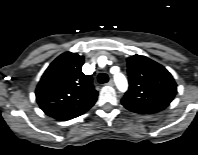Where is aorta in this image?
Masks as SVG:
<instances>
[{"mask_svg": "<svg viewBox=\"0 0 198 155\" xmlns=\"http://www.w3.org/2000/svg\"><path fill=\"white\" fill-rule=\"evenodd\" d=\"M114 81L120 91H125L127 89V80L122 73L115 74Z\"/></svg>", "mask_w": 198, "mask_h": 155, "instance_id": "762f6f07", "label": "aorta"}]
</instances>
